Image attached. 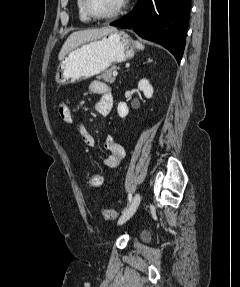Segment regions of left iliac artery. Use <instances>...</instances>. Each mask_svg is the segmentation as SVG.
<instances>
[{"instance_id":"1","label":"left iliac artery","mask_w":240,"mask_h":287,"mask_svg":"<svg viewBox=\"0 0 240 287\" xmlns=\"http://www.w3.org/2000/svg\"><path fill=\"white\" fill-rule=\"evenodd\" d=\"M128 200H129V202H131V200H132V194L131 193L128 194Z\"/></svg>"}]
</instances>
